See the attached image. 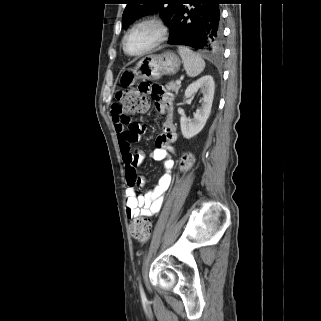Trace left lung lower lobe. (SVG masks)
<instances>
[{
	"label": "left lung lower lobe",
	"instance_id": "1",
	"mask_svg": "<svg viewBox=\"0 0 321 321\" xmlns=\"http://www.w3.org/2000/svg\"><path fill=\"white\" fill-rule=\"evenodd\" d=\"M222 3V0H182L169 24L168 43L219 54L223 44L219 9Z\"/></svg>",
	"mask_w": 321,
	"mask_h": 321
}]
</instances>
